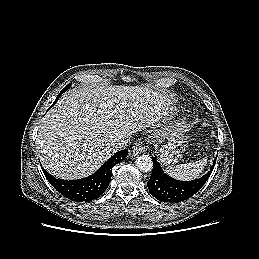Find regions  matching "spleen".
<instances>
[{
    "mask_svg": "<svg viewBox=\"0 0 259 259\" xmlns=\"http://www.w3.org/2000/svg\"><path fill=\"white\" fill-rule=\"evenodd\" d=\"M207 163V158L181 165H171L165 169L170 176L180 180H192L198 178Z\"/></svg>",
    "mask_w": 259,
    "mask_h": 259,
    "instance_id": "3e777b00",
    "label": "spleen"
}]
</instances>
